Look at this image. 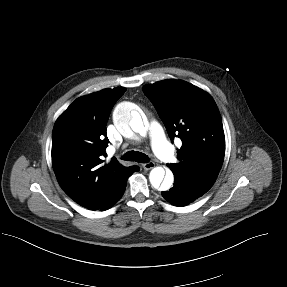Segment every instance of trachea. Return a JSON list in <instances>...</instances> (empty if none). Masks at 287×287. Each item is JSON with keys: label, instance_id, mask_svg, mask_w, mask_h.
<instances>
[{"label": "trachea", "instance_id": "obj_1", "mask_svg": "<svg viewBox=\"0 0 287 287\" xmlns=\"http://www.w3.org/2000/svg\"><path fill=\"white\" fill-rule=\"evenodd\" d=\"M122 160L135 161L138 163H147L149 161L148 156L138 151H128L122 156Z\"/></svg>", "mask_w": 287, "mask_h": 287}]
</instances>
